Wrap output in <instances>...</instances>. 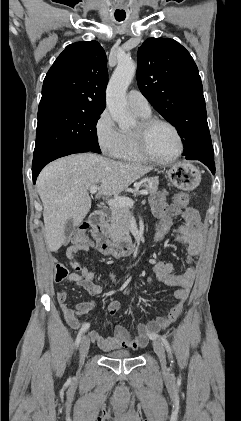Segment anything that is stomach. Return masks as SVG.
Instances as JSON below:
<instances>
[{"mask_svg":"<svg viewBox=\"0 0 241 421\" xmlns=\"http://www.w3.org/2000/svg\"><path fill=\"white\" fill-rule=\"evenodd\" d=\"M169 180L176 187L183 190H192L198 186L201 180L199 170L189 162H179L167 170Z\"/></svg>","mask_w":241,"mask_h":421,"instance_id":"stomach-1","label":"stomach"}]
</instances>
